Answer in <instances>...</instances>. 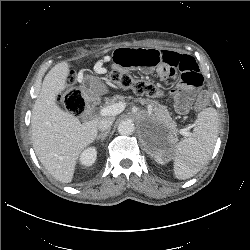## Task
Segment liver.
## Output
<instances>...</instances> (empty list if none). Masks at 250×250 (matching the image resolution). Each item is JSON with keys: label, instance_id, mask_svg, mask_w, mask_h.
I'll return each instance as SVG.
<instances>
[{"label": "liver", "instance_id": "6515ba94", "mask_svg": "<svg viewBox=\"0 0 250 250\" xmlns=\"http://www.w3.org/2000/svg\"><path fill=\"white\" fill-rule=\"evenodd\" d=\"M69 64L55 65L45 76L31 116L32 144L45 169L58 181L70 183L81 152L97 137L95 118L81 123L56 104L68 85Z\"/></svg>", "mask_w": 250, "mask_h": 250}]
</instances>
